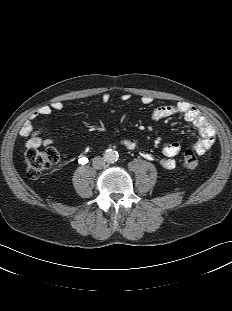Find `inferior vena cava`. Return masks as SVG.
<instances>
[{"mask_svg":"<svg viewBox=\"0 0 232 311\" xmlns=\"http://www.w3.org/2000/svg\"><path fill=\"white\" fill-rule=\"evenodd\" d=\"M106 161L103 157L97 156L93 158L92 165L95 169H102L105 167Z\"/></svg>","mask_w":232,"mask_h":311,"instance_id":"1","label":"inferior vena cava"}]
</instances>
